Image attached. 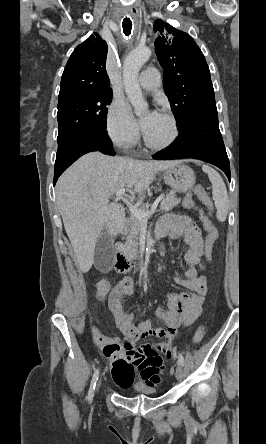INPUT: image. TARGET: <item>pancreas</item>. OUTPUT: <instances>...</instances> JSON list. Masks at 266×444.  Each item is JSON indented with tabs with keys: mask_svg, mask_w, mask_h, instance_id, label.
I'll use <instances>...</instances> for the list:
<instances>
[{
	"mask_svg": "<svg viewBox=\"0 0 266 444\" xmlns=\"http://www.w3.org/2000/svg\"><path fill=\"white\" fill-rule=\"evenodd\" d=\"M180 202V199H178L174 192L168 193L161 201L160 209L163 212H168L171 209H173L178 203ZM140 209L147 211V205L143 204L140 206ZM130 229H129V235L127 237V241L129 245L133 248L132 255L136 256V248L138 246V239L140 232L143 228V222L142 220L138 219L134 215H132L130 220Z\"/></svg>",
	"mask_w": 266,
	"mask_h": 444,
	"instance_id": "pancreas-1",
	"label": "pancreas"
}]
</instances>
